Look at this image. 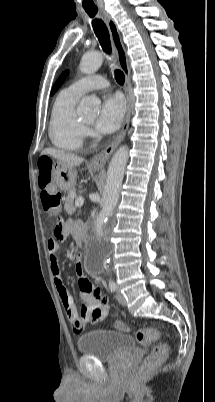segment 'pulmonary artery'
Returning <instances> with one entry per match:
<instances>
[{
	"label": "pulmonary artery",
	"mask_w": 215,
	"mask_h": 402,
	"mask_svg": "<svg viewBox=\"0 0 215 402\" xmlns=\"http://www.w3.org/2000/svg\"><path fill=\"white\" fill-rule=\"evenodd\" d=\"M108 85L109 83L105 77L101 75H89L75 81L68 89L81 96L90 90L106 88Z\"/></svg>",
	"instance_id": "e3ab8cb5"
}]
</instances>
